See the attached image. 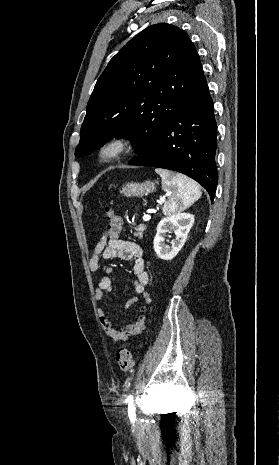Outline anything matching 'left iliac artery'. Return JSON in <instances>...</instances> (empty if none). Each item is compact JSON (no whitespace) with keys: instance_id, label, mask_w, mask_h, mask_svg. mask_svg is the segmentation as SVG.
Returning <instances> with one entry per match:
<instances>
[{"instance_id":"1","label":"left iliac artery","mask_w":279,"mask_h":465,"mask_svg":"<svg viewBox=\"0 0 279 465\" xmlns=\"http://www.w3.org/2000/svg\"><path fill=\"white\" fill-rule=\"evenodd\" d=\"M126 402L128 403V414L131 421L135 420V406L132 400V396L129 395Z\"/></svg>"}]
</instances>
